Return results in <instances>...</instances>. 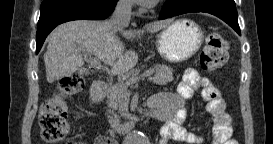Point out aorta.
<instances>
[{
  "instance_id": "1",
  "label": "aorta",
  "mask_w": 273,
  "mask_h": 144,
  "mask_svg": "<svg viewBox=\"0 0 273 144\" xmlns=\"http://www.w3.org/2000/svg\"><path fill=\"white\" fill-rule=\"evenodd\" d=\"M125 144H146L147 138L143 133L134 132L126 138Z\"/></svg>"
}]
</instances>
